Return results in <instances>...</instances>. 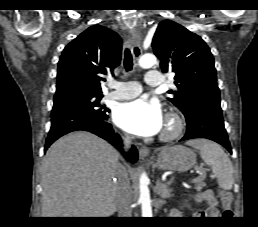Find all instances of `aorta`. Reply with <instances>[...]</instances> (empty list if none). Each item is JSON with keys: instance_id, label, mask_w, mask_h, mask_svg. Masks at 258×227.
Instances as JSON below:
<instances>
[{"instance_id": "obj_1", "label": "aorta", "mask_w": 258, "mask_h": 227, "mask_svg": "<svg viewBox=\"0 0 258 227\" xmlns=\"http://www.w3.org/2000/svg\"><path fill=\"white\" fill-rule=\"evenodd\" d=\"M156 64V57L153 54H145L139 60L142 68H150ZM149 179L146 173H142L139 180V202L141 203L142 217H152V206L148 188Z\"/></svg>"}]
</instances>
